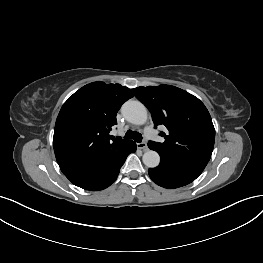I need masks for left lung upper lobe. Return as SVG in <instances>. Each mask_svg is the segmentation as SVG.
Wrapping results in <instances>:
<instances>
[{"label": "left lung upper lobe", "mask_w": 263, "mask_h": 263, "mask_svg": "<svg viewBox=\"0 0 263 263\" xmlns=\"http://www.w3.org/2000/svg\"><path fill=\"white\" fill-rule=\"evenodd\" d=\"M151 112L155 128L164 125L161 132L165 141L148 142L161 160L190 169L203 171L210 160L215 129L204 104L192 94L171 86L137 87L132 89Z\"/></svg>", "instance_id": "obj_1"}]
</instances>
